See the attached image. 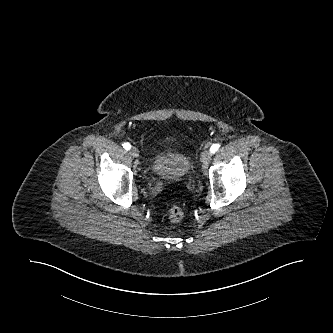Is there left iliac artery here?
Segmentation results:
<instances>
[{"instance_id":"44dca946","label":"left iliac artery","mask_w":333,"mask_h":333,"mask_svg":"<svg viewBox=\"0 0 333 333\" xmlns=\"http://www.w3.org/2000/svg\"><path fill=\"white\" fill-rule=\"evenodd\" d=\"M219 147H220L219 144L217 143L213 144L210 148V152L215 153L219 149Z\"/></svg>"}]
</instances>
